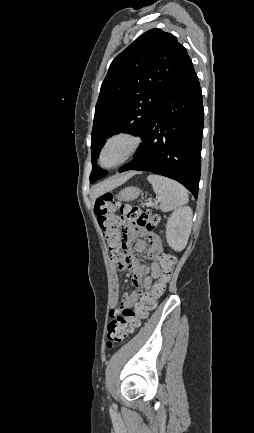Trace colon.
I'll return each instance as SVG.
<instances>
[{
  "instance_id": "obj_1",
  "label": "colon",
  "mask_w": 254,
  "mask_h": 433,
  "mask_svg": "<svg viewBox=\"0 0 254 433\" xmlns=\"http://www.w3.org/2000/svg\"><path fill=\"white\" fill-rule=\"evenodd\" d=\"M117 207L120 208V216L113 215ZM95 213L112 259H120L126 254V224L134 228H148L158 225L160 221L158 215L139 205L115 203L113 194L109 192L96 199ZM175 262L176 258L172 253L161 254L160 272L152 289L141 296L135 308L123 305L112 315L106 332L108 348L124 342L140 325V321L147 317L148 312L155 308L157 299L164 294L166 285L171 281Z\"/></svg>"
}]
</instances>
